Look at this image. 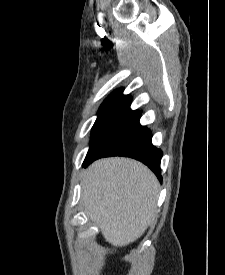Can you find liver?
<instances>
[{
	"mask_svg": "<svg viewBox=\"0 0 225 275\" xmlns=\"http://www.w3.org/2000/svg\"><path fill=\"white\" fill-rule=\"evenodd\" d=\"M81 184L87 216L113 246L136 241L155 216L159 182L136 160H97L86 169Z\"/></svg>",
	"mask_w": 225,
	"mask_h": 275,
	"instance_id": "6515ba94",
	"label": "liver"
}]
</instances>
